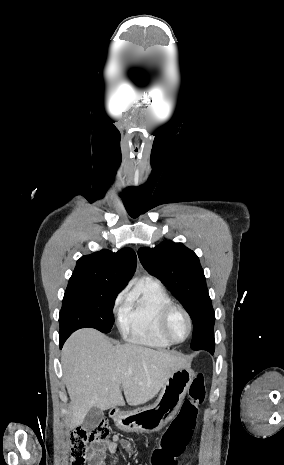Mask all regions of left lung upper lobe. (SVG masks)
I'll return each instance as SVG.
<instances>
[{
	"label": "left lung upper lobe",
	"mask_w": 284,
	"mask_h": 465,
	"mask_svg": "<svg viewBox=\"0 0 284 465\" xmlns=\"http://www.w3.org/2000/svg\"><path fill=\"white\" fill-rule=\"evenodd\" d=\"M139 259L183 304L193 322V350L215 349V312L197 255L182 243L164 241L155 248L142 247Z\"/></svg>",
	"instance_id": "left-lung-upper-lobe-1"
}]
</instances>
